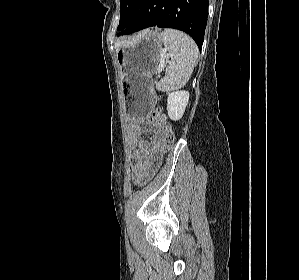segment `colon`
Returning <instances> with one entry per match:
<instances>
[{"mask_svg":"<svg viewBox=\"0 0 299 280\" xmlns=\"http://www.w3.org/2000/svg\"><path fill=\"white\" fill-rule=\"evenodd\" d=\"M150 122L159 125L165 133V147L164 151L168 150L175 139V135L171 126L167 123L165 117L163 116L162 109L156 107L148 116Z\"/></svg>","mask_w":299,"mask_h":280,"instance_id":"colon-1","label":"colon"}]
</instances>
